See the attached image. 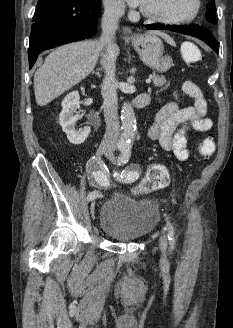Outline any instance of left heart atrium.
Instances as JSON below:
<instances>
[{"instance_id":"left-heart-atrium-1","label":"left heart atrium","mask_w":233,"mask_h":328,"mask_svg":"<svg viewBox=\"0 0 233 328\" xmlns=\"http://www.w3.org/2000/svg\"><path fill=\"white\" fill-rule=\"evenodd\" d=\"M127 3L133 7L141 6L144 0H126Z\"/></svg>"}]
</instances>
